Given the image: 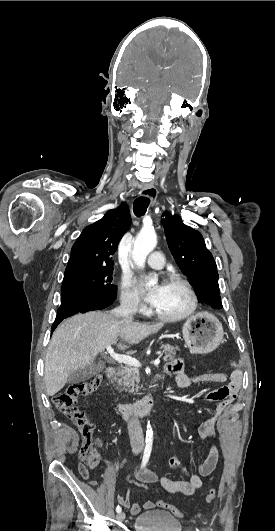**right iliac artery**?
Wrapping results in <instances>:
<instances>
[{"mask_svg": "<svg viewBox=\"0 0 275 531\" xmlns=\"http://www.w3.org/2000/svg\"><path fill=\"white\" fill-rule=\"evenodd\" d=\"M151 450H152V440L148 439L146 440V447H145L144 454H143L142 466H145L146 463L148 462L150 454H151ZM121 510H122L121 507L118 505L116 507V512L120 513Z\"/></svg>", "mask_w": 275, "mask_h": 531, "instance_id": "1", "label": "right iliac artery"}]
</instances>
